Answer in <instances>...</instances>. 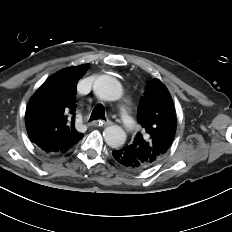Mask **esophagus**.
<instances>
[{"label": "esophagus", "instance_id": "obj_1", "mask_svg": "<svg viewBox=\"0 0 232 232\" xmlns=\"http://www.w3.org/2000/svg\"><path fill=\"white\" fill-rule=\"evenodd\" d=\"M111 124H112L111 121H103V120H97L91 123L92 126H102V127H106Z\"/></svg>", "mask_w": 232, "mask_h": 232}]
</instances>
